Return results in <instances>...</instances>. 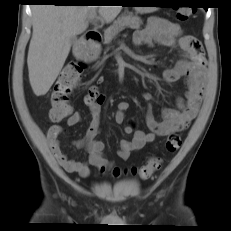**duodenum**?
<instances>
[{
  "instance_id": "410a0bca",
  "label": "duodenum",
  "mask_w": 231,
  "mask_h": 231,
  "mask_svg": "<svg viewBox=\"0 0 231 231\" xmlns=\"http://www.w3.org/2000/svg\"><path fill=\"white\" fill-rule=\"evenodd\" d=\"M83 40L87 44L88 48L77 49L78 54H86L87 52H89V47H94L99 45L102 40V37L98 31L89 30L84 33Z\"/></svg>"
}]
</instances>
